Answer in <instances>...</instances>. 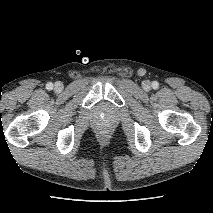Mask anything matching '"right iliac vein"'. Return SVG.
I'll list each match as a JSON object with an SVG mask.
<instances>
[{
  "label": "right iliac vein",
  "mask_w": 213,
  "mask_h": 213,
  "mask_svg": "<svg viewBox=\"0 0 213 213\" xmlns=\"http://www.w3.org/2000/svg\"><path fill=\"white\" fill-rule=\"evenodd\" d=\"M54 89H55L56 92H61L62 89H63V84L61 82H56Z\"/></svg>",
  "instance_id": "right-iliac-vein-1"
}]
</instances>
